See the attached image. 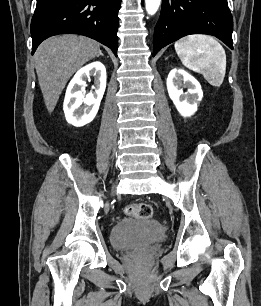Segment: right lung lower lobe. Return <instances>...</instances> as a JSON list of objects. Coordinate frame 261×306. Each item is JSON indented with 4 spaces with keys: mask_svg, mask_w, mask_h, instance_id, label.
Listing matches in <instances>:
<instances>
[{
    "mask_svg": "<svg viewBox=\"0 0 261 306\" xmlns=\"http://www.w3.org/2000/svg\"><path fill=\"white\" fill-rule=\"evenodd\" d=\"M121 0H37L31 21L32 54L46 38L74 33L93 38L117 56Z\"/></svg>",
    "mask_w": 261,
    "mask_h": 306,
    "instance_id": "98d812e1",
    "label": "right lung lower lobe"
}]
</instances>
